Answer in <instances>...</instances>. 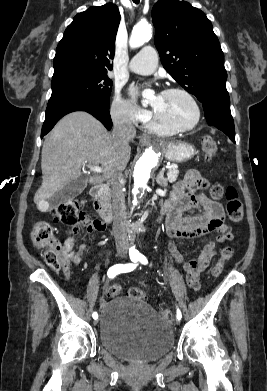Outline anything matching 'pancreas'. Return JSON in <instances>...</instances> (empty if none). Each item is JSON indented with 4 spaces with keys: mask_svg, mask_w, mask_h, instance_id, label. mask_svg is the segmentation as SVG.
Wrapping results in <instances>:
<instances>
[{
    "mask_svg": "<svg viewBox=\"0 0 267 391\" xmlns=\"http://www.w3.org/2000/svg\"><path fill=\"white\" fill-rule=\"evenodd\" d=\"M171 168L167 171V179L166 181L173 183L177 180L179 171L175 165H171Z\"/></svg>",
    "mask_w": 267,
    "mask_h": 391,
    "instance_id": "obj_1",
    "label": "pancreas"
}]
</instances>
